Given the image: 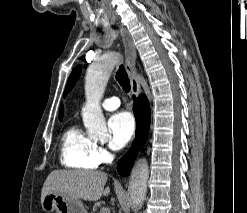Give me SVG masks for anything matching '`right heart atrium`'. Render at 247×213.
Returning a JSON list of instances; mask_svg holds the SVG:
<instances>
[{"label": "right heart atrium", "mask_w": 247, "mask_h": 213, "mask_svg": "<svg viewBox=\"0 0 247 213\" xmlns=\"http://www.w3.org/2000/svg\"><path fill=\"white\" fill-rule=\"evenodd\" d=\"M94 156L96 158V161L99 164L107 163L110 160V154L107 151V149L100 145L96 144L94 148Z\"/></svg>", "instance_id": "d8ad5b80"}]
</instances>
